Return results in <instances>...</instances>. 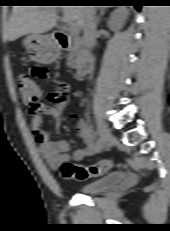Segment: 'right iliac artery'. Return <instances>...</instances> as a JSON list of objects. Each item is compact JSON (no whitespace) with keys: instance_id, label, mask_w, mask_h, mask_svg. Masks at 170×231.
I'll list each match as a JSON object with an SVG mask.
<instances>
[{"instance_id":"1","label":"right iliac artery","mask_w":170,"mask_h":231,"mask_svg":"<svg viewBox=\"0 0 170 231\" xmlns=\"http://www.w3.org/2000/svg\"><path fill=\"white\" fill-rule=\"evenodd\" d=\"M94 134H95V136H98V132H95ZM98 144H99V150H100V147H101V142H100V140H98Z\"/></svg>"}]
</instances>
